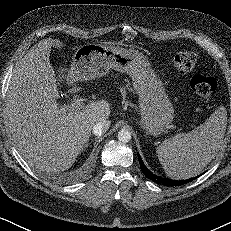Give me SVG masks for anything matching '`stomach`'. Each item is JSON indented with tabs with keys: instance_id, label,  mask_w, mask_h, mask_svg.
<instances>
[{
	"instance_id": "obj_1",
	"label": "stomach",
	"mask_w": 231,
	"mask_h": 231,
	"mask_svg": "<svg viewBox=\"0 0 231 231\" xmlns=\"http://www.w3.org/2000/svg\"><path fill=\"white\" fill-rule=\"evenodd\" d=\"M110 69L130 75L138 95L140 126L151 135H161L174 119V108L164 84L143 53L89 44L75 52L67 77L72 81L94 80L105 76Z\"/></svg>"
}]
</instances>
